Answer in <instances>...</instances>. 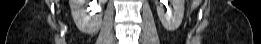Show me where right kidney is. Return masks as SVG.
Returning <instances> with one entry per match:
<instances>
[{"instance_id":"ca27d5eb","label":"right kidney","mask_w":261,"mask_h":44,"mask_svg":"<svg viewBox=\"0 0 261 44\" xmlns=\"http://www.w3.org/2000/svg\"><path fill=\"white\" fill-rule=\"evenodd\" d=\"M69 4L74 22L80 31L94 33L99 29L102 16L96 14L101 11L97 0H69Z\"/></svg>"}]
</instances>
